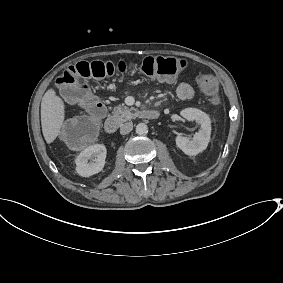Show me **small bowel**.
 <instances>
[{
  "instance_id": "obj_1",
  "label": "small bowel",
  "mask_w": 283,
  "mask_h": 283,
  "mask_svg": "<svg viewBox=\"0 0 283 283\" xmlns=\"http://www.w3.org/2000/svg\"><path fill=\"white\" fill-rule=\"evenodd\" d=\"M175 91L181 100L192 101L195 98V90L187 83H180Z\"/></svg>"
}]
</instances>
